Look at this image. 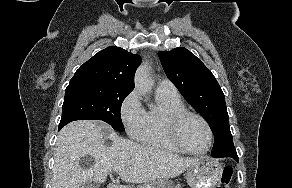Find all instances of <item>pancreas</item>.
<instances>
[{
    "label": "pancreas",
    "instance_id": "obj_1",
    "mask_svg": "<svg viewBox=\"0 0 292 188\" xmlns=\"http://www.w3.org/2000/svg\"><path fill=\"white\" fill-rule=\"evenodd\" d=\"M138 188H181L179 183L174 184L172 181L161 179L157 182H150L139 186Z\"/></svg>",
    "mask_w": 292,
    "mask_h": 188
}]
</instances>
